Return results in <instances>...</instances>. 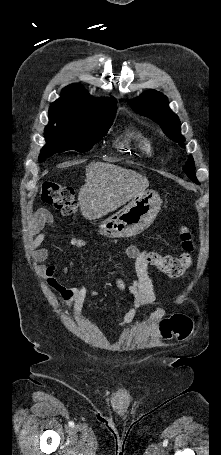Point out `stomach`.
<instances>
[{
	"mask_svg": "<svg viewBox=\"0 0 221 455\" xmlns=\"http://www.w3.org/2000/svg\"><path fill=\"white\" fill-rule=\"evenodd\" d=\"M162 199L158 192L146 190L134 197L124 208L101 221L98 233L107 238H128L147 229L160 211Z\"/></svg>",
	"mask_w": 221,
	"mask_h": 455,
	"instance_id": "1",
	"label": "stomach"
}]
</instances>
